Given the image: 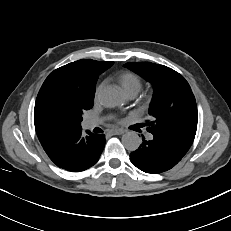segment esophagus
<instances>
[{"mask_svg": "<svg viewBox=\"0 0 231 231\" xmlns=\"http://www.w3.org/2000/svg\"><path fill=\"white\" fill-rule=\"evenodd\" d=\"M124 133V130L122 129H116V130H112L109 132L110 135H121Z\"/></svg>", "mask_w": 231, "mask_h": 231, "instance_id": "esophagus-1", "label": "esophagus"}]
</instances>
